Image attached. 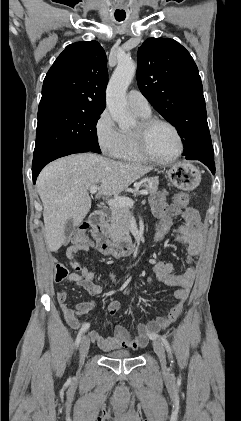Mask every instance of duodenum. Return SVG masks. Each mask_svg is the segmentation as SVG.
<instances>
[{
    "label": "duodenum",
    "mask_w": 241,
    "mask_h": 421,
    "mask_svg": "<svg viewBox=\"0 0 241 421\" xmlns=\"http://www.w3.org/2000/svg\"><path fill=\"white\" fill-rule=\"evenodd\" d=\"M105 213L95 211L90 216V224L93 228V237L98 250L105 255L114 257L127 256L134 249L133 242L129 238H115L111 236L104 225Z\"/></svg>",
    "instance_id": "obj_1"
}]
</instances>
